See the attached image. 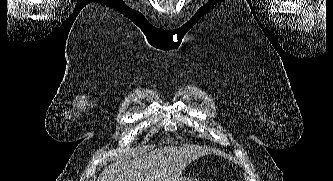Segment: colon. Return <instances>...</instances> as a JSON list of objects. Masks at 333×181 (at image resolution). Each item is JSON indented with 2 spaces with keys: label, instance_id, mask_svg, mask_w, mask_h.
<instances>
[{
  "label": "colon",
  "instance_id": "colon-1",
  "mask_svg": "<svg viewBox=\"0 0 333 181\" xmlns=\"http://www.w3.org/2000/svg\"><path fill=\"white\" fill-rule=\"evenodd\" d=\"M225 181H233L232 179H226Z\"/></svg>",
  "mask_w": 333,
  "mask_h": 181
}]
</instances>
